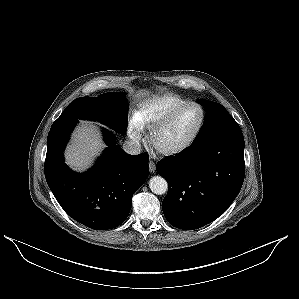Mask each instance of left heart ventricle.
<instances>
[{"label":"left heart ventricle","instance_id":"b2bd125f","mask_svg":"<svg viewBox=\"0 0 299 299\" xmlns=\"http://www.w3.org/2000/svg\"><path fill=\"white\" fill-rule=\"evenodd\" d=\"M201 120L196 106L185 109L169 126L157 133L154 145L159 150H170L184 144L195 132Z\"/></svg>","mask_w":299,"mask_h":299}]
</instances>
